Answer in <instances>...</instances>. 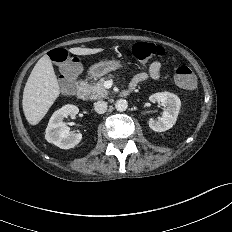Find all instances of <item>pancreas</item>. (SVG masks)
Instances as JSON below:
<instances>
[{"label":"pancreas","instance_id":"1","mask_svg":"<svg viewBox=\"0 0 232 232\" xmlns=\"http://www.w3.org/2000/svg\"><path fill=\"white\" fill-rule=\"evenodd\" d=\"M105 78H101L93 85H86V92L91 100L102 99L108 95L107 89L104 87Z\"/></svg>","mask_w":232,"mask_h":232}]
</instances>
